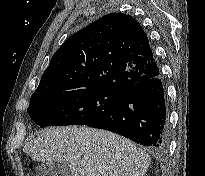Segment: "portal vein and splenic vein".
Wrapping results in <instances>:
<instances>
[{
    "label": "portal vein and splenic vein",
    "mask_w": 205,
    "mask_h": 176,
    "mask_svg": "<svg viewBox=\"0 0 205 176\" xmlns=\"http://www.w3.org/2000/svg\"><path fill=\"white\" fill-rule=\"evenodd\" d=\"M85 162L83 161V162H81V164H84Z\"/></svg>",
    "instance_id": "18ae733b"
}]
</instances>
